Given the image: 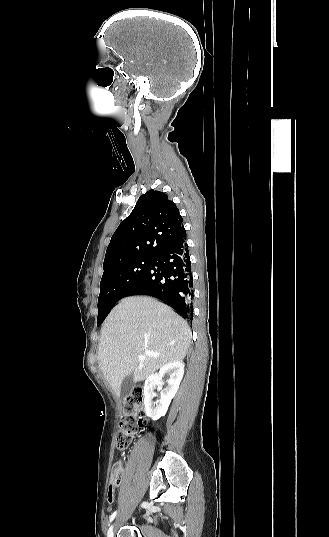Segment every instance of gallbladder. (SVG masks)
Returning <instances> with one entry per match:
<instances>
[{
    "label": "gallbladder",
    "mask_w": 329,
    "mask_h": 537,
    "mask_svg": "<svg viewBox=\"0 0 329 537\" xmlns=\"http://www.w3.org/2000/svg\"><path fill=\"white\" fill-rule=\"evenodd\" d=\"M134 386H135L134 377H133V374L131 373L127 375L121 383V387H120L121 397L124 398L127 395H130L132 390L134 389Z\"/></svg>",
    "instance_id": "bac80fb5"
}]
</instances>
